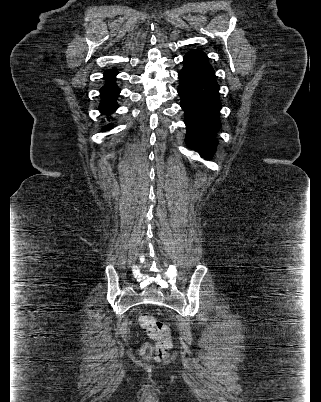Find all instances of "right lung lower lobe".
Instances as JSON below:
<instances>
[{
    "label": "right lung lower lobe",
    "mask_w": 321,
    "mask_h": 402,
    "mask_svg": "<svg viewBox=\"0 0 321 402\" xmlns=\"http://www.w3.org/2000/svg\"><path fill=\"white\" fill-rule=\"evenodd\" d=\"M117 75V71L108 70L105 72V85L100 89L101 92V103L99 105V110L104 115H110L117 108V97L120 93V89L117 87L115 83V76ZM112 125L109 124L108 128H111Z\"/></svg>",
    "instance_id": "1"
}]
</instances>
